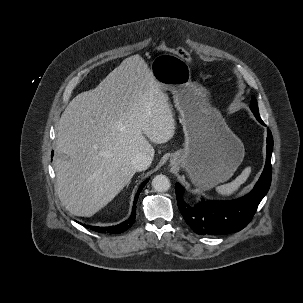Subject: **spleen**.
<instances>
[{
    "mask_svg": "<svg viewBox=\"0 0 303 303\" xmlns=\"http://www.w3.org/2000/svg\"><path fill=\"white\" fill-rule=\"evenodd\" d=\"M251 173V167H246L242 173L232 182L216 187V191L221 196H231L240 186L246 182Z\"/></svg>",
    "mask_w": 303,
    "mask_h": 303,
    "instance_id": "spleen-1",
    "label": "spleen"
}]
</instances>
